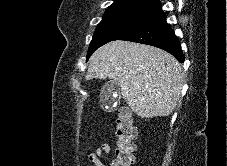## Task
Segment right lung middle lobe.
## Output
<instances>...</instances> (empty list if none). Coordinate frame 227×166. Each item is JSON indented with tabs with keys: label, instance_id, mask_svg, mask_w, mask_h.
Segmentation results:
<instances>
[{
	"label": "right lung middle lobe",
	"instance_id": "obj_1",
	"mask_svg": "<svg viewBox=\"0 0 227 166\" xmlns=\"http://www.w3.org/2000/svg\"><path fill=\"white\" fill-rule=\"evenodd\" d=\"M159 7L125 4L109 7L98 24L90 43L87 59L100 46L117 39L154 14Z\"/></svg>",
	"mask_w": 227,
	"mask_h": 166
}]
</instances>
